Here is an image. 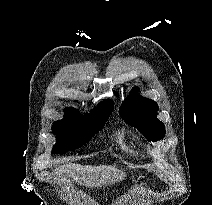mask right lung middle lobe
Masks as SVG:
<instances>
[{
    "instance_id": "obj_1",
    "label": "right lung middle lobe",
    "mask_w": 212,
    "mask_h": 205,
    "mask_svg": "<svg viewBox=\"0 0 212 205\" xmlns=\"http://www.w3.org/2000/svg\"><path fill=\"white\" fill-rule=\"evenodd\" d=\"M114 107H101L91 111L85 116L78 110L66 112L64 119L53 122L52 132L57 142L52 153L64 154L77 149L87 143L108 120Z\"/></svg>"
}]
</instances>
